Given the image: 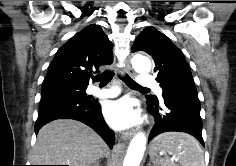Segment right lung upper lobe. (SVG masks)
<instances>
[{"label": "right lung upper lobe", "mask_w": 236, "mask_h": 166, "mask_svg": "<svg viewBox=\"0 0 236 166\" xmlns=\"http://www.w3.org/2000/svg\"><path fill=\"white\" fill-rule=\"evenodd\" d=\"M112 61V43L98 25L90 24L58 49L44 84L66 81L87 87L92 72Z\"/></svg>", "instance_id": "right-lung-upper-lobe-1"}]
</instances>
